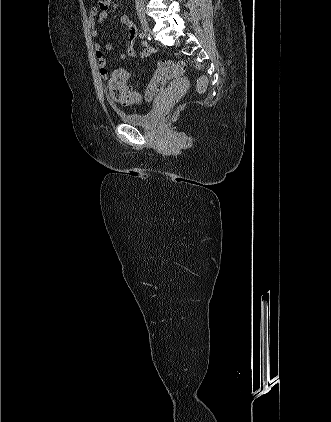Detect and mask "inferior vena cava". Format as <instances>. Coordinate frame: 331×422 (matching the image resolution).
<instances>
[{
    "mask_svg": "<svg viewBox=\"0 0 331 422\" xmlns=\"http://www.w3.org/2000/svg\"><path fill=\"white\" fill-rule=\"evenodd\" d=\"M137 11L142 10L144 6V0H135Z\"/></svg>",
    "mask_w": 331,
    "mask_h": 422,
    "instance_id": "obj_1",
    "label": "inferior vena cava"
}]
</instances>
